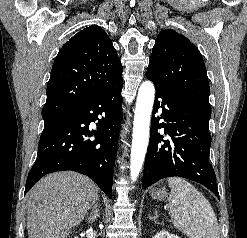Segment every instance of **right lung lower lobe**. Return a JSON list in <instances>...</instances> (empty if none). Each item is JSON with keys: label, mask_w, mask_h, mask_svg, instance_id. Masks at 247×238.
<instances>
[{"label": "right lung lower lobe", "mask_w": 247, "mask_h": 238, "mask_svg": "<svg viewBox=\"0 0 247 238\" xmlns=\"http://www.w3.org/2000/svg\"><path fill=\"white\" fill-rule=\"evenodd\" d=\"M122 86L123 80H120L81 105L45 122L25 194L44 175L72 170L90 177L111 198L122 121ZM95 121H98L97 129L91 130L89 125ZM93 135L96 136L94 140L88 139Z\"/></svg>", "instance_id": "obj_1"}]
</instances>
